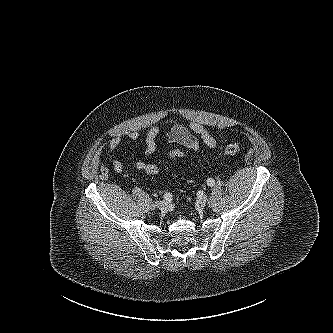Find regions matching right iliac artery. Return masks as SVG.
I'll use <instances>...</instances> for the list:
<instances>
[{"label":"right iliac artery","mask_w":333,"mask_h":333,"mask_svg":"<svg viewBox=\"0 0 333 333\" xmlns=\"http://www.w3.org/2000/svg\"><path fill=\"white\" fill-rule=\"evenodd\" d=\"M164 199L167 201V202H170L172 200V195L170 193H166L164 195Z\"/></svg>","instance_id":"1"}]
</instances>
